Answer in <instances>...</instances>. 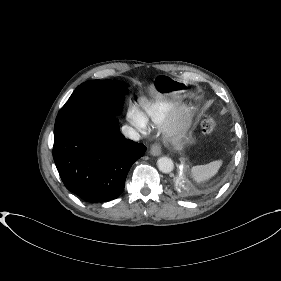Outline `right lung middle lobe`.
<instances>
[{"mask_svg":"<svg viewBox=\"0 0 281 281\" xmlns=\"http://www.w3.org/2000/svg\"><path fill=\"white\" fill-rule=\"evenodd\" d=\"M128 85L117 80L87 81L78 86L59 111L55 127L80 116H116L122 110Z\"/></svg>","mask_w":281,"mask_h":281,"instance_id":"dd1d6c3e","label":"right lung middle lobe"}]
</instances>
